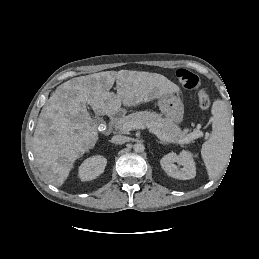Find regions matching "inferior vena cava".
<instances>
[{
  "mask_svg": "<svg viewBox=\"0 0 259 259\" xmlns=\"http://www.w3.org/2000/svg\"><path fill=\"white\" fill-rule=\"evenodd\" d=\"M111 142L114 144H123L127 142V137L122 135H115L112 137Z\"/></svg>",
  "mask_w": 259,
  "mask_h": 259,
  "instance_id": "obj_1",
  "label": "inferior vena cava"
}]
</instances>
